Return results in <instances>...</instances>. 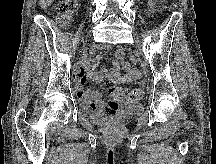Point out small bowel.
Listing matches in <instances>:
<instances>
[{
	"instance_id": "small-bowel-1",
	"label": "small bowel",
	"mask_w": 216,
	"mask_h": 164,
	"mask_svg": "<svg viewBox=\"0 0 216 164\" xmlns=\"http://www.w3.org/2000/svg\"><path fill=\"white\" fill-rule=\"evenodd\" d=\"M116 55L118 64L114 66L111 72L107 70L96 71L95 65L99 57H94L85 60L83 65L74 73L77 94L81 103L84 109L94 117L112 115L118 108V104L111 100L105 105L100 92L86 88L87 77L96 82L109 80L112 84H121L129 83L138 76V71L129 62L123 59L124 51L121 47L117 48ZM119 65L124 68V75L119 73Z\"/></svg>"
}]
</instances>
